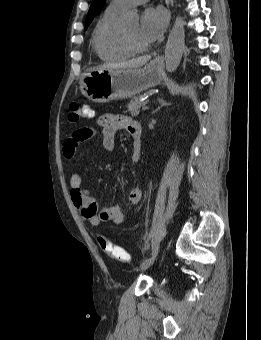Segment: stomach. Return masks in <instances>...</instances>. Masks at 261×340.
<instances>
[{
  "instance_id": "1",
  "label": "stomach",
  "mask_w": 261,
  "mask_h": 340,
  "mask_svg": "<svg viewBox=\"0 0 261 340\" xmlns=\"http://www.w3.org/2000/svg\"><path fill=\"white\" fill-rule=\"evenodd\" d=\"M162 75L163 63L158 59L142 68L91 70L83 74L80 90L88 99L104 103L130 98L159 85Z\"/></svg>"
}]
</instances>
